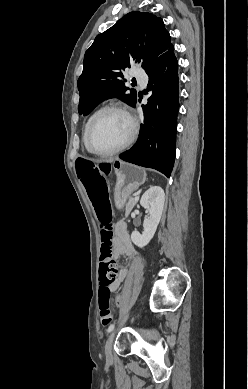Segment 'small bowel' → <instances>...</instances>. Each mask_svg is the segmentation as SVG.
Segmentation results:
<instances>
[{
  "label": "small bowel",
  "mask_w": 248,
  "mask_h": 389,
  "mask_svg": "<svg viewBox=\"0 0 248 389\" xmlns=\"http://www.w3.org/2000/svg\"><path fill=\"white\" fill-rule=\"evenodd\" d=\"M90 200V199H89ZM113 253L115 256L126 255L130 259H134L137 256V251L134 248L128 230L127 225L124 222H119L116 228V237L112 243ZM128 270L126 268H120L116 281L111 286V290H117L121 283L126 279Z\"/></svg>",
  "instance_id": "1"
}]
</instances>
